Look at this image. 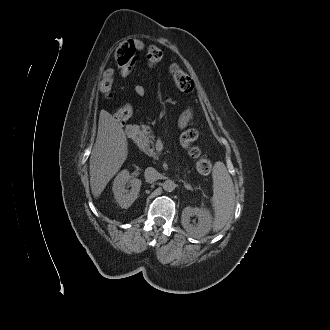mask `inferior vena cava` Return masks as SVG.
<instances>
[{"label": "inferior vena cava", "mask_w": 330, "mask_h": 330, "mask_svg": "<svg viewBox=\"0 0 330 330\" xmlns=\"http://www.w3.org/2000/svg\"><path fill=\"white\" fill-rule=\"evenodd\" d=\"M144 177H145L146 182L153 183L159 179V173L153 167H148L145 169Z\"/></svg>", "instance_id": "obj_1"}]
</instances>
